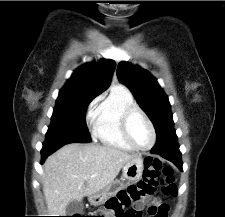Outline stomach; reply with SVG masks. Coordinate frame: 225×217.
<instances>
[{"mask_svg": "<svg viewBox=\"0 0 225 217\" xmlns=\"http://www.w3.org/2000/svg\"><path fill=\"white\" fill-rule=\"evenodd\" d=\"M144 171V160L137 156L134 159L128 161L122 169L121 180H115L99 192L92 194L89 197L91 204L99 206L104 204L108 199L115 196L122 188L125 187V181L137 182L143 176Z\"/></svg>", "mask_w": 225, "mask_h": 217, "instance_id": "1", "label": "stomach"}]
</instances>
